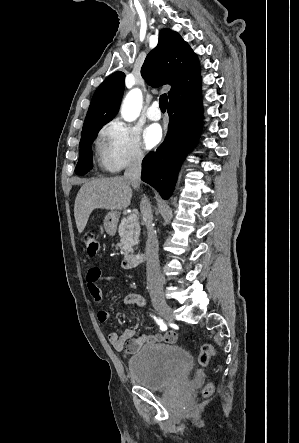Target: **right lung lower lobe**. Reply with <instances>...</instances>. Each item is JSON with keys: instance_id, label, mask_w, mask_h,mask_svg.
Here are the masks:
<instances>
[{"instance_id": "98d812e1", "label": "right lung lower lobe", "mask_w": 299, "mask_h": 443, "mask_svg": "<svg viewBox=\"0 0 299 443\" xmlns=\"http://www.w3.org/2000/svg\"><path fill=\"white\" fill-rule=\"evenodd\" d=\"M200 87L201 78L170 98L167 137L156 152L147 154L142 162L141 179L159 191L163 199L171 196L181 161L200 132Z\"/></svg>"}]
</instances>
